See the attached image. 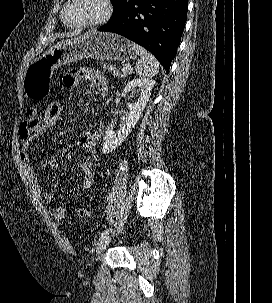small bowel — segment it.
<instances>
[{"label": "small bowel", "mask_w": 272, "mask_h": 303, "mask_svg": "<svg viewBox=\"0 0 272 303\" xmlns=\"http://www.w3.org/2000/svg\"><path fill=\"white\" fill-rule=\"evenodd\" d=\"M82 80H89L96 88L98 94L105 98L108 94V83L105 76L97 69L93 68H80L73 70L62 76L61 81L65 86L74 87ZM39 112L32 108L28 110L25 119L20 125L19 135V159L24 171L26 179L29 181L34 194L43 204H50L54 198V190L49 192H42L38 181V174L32 167L30 162L29 149L31 144L36 139L42 137L39 130ZM103 126L101 123H96L90 127L88 131L83 133L79 138V147L84 151L89 161L84 162L81 166L84 174L81 188L86 190L91 187L95 180V167L94 162L99 159V152L97 150V143L101 138ZM57 163L54 157H50L46 162L39 166V170H45L47 167L54 168ZM51 214L55 218H62L64 215L63 207H54L51 209Z\"/></svg>", "instance_id": "obj_1"}]
</instances>
